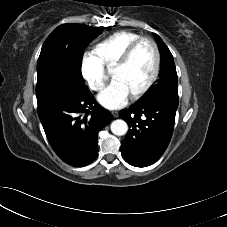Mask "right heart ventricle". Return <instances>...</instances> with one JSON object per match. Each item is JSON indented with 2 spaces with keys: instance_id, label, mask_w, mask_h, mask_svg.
I'll list each match as a JSON object with an SVG mask.
<instances>
[{
  "instance_id": "obj_1",
  "label": "right heart ventricle",
  "mask_w": 227,
  "mask_h": 227,
  "mask_svg": "<svg viewBox=\"0 0 227 227\" xmlns=\"http://www.w3.org/2000/svg\"><path fill=\"white\" fill-rule=\"evenodd\" d=\"M141 36L131 31L115 32L95 46V53L104 66L113 67L126 48Z\"/></svg>"
}]
</instances>
